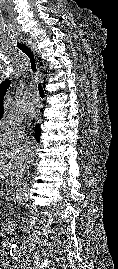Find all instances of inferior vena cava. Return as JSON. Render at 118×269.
I'll list each match as a JSON object with an SVG mask.
<instances>
[{
	"instance_id": "obj_1",
	"label": "inferior vena cava",
	"mask_w": 118,
	"mask_h": 269,
	"mask_svg": "<svg viewBox=\"0 0 118 269\" xmlns=\"http://www.w3.org/2000/svg\"><path fill=\"white\" fill-rule=\"evenodd\" d=\"M26 149V157L24 161V171L32 164L33 162V157H32V144L27 142L25 145Z\"/></svg>"
}]
</instances>
